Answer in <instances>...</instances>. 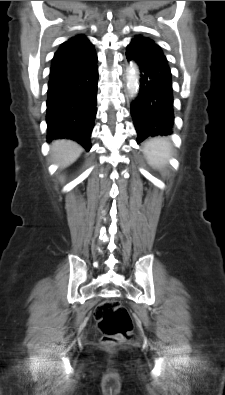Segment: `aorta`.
I'll return each mask as SVG.
<instances>
[{"label":"aorta","mask_w":225,"mask_h":395,"mask_svg":"<svg viewBox=\"0 0 225 395\" xmlns=\"http://www.w3.org/2000/svg\"><path fill=\"white\" fill-rule=\"evenodd\" d=\"M126 82L130 97L135 98L139 91V72L134 63H130L126 69Z\"/></svg>","instance_id":"1"}]
</instances>
